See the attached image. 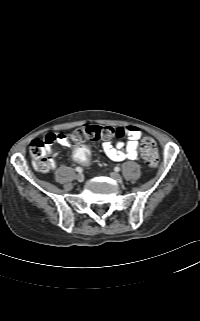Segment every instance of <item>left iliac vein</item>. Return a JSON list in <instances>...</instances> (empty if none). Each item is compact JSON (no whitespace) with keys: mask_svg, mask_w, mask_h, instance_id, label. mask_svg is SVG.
Wrapping results in <instances>:
<instances>
[{"mask_svg":"<svg viewBox=\"0 0 200 321\" xmlns=\"http://www.w3.org/2000/svg\"><path fill=\"white\" fill-rule=\"evenodd\" d=\"M110 176L112 179H114L115 181H117L118 183H121L123 181L122 176L116 172H111Z\"/></svg>","mask_w":200,"mask_h":321,"instance_id":"obj_1","label":"left iliac vein"}]
</instances>
